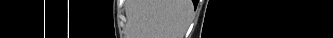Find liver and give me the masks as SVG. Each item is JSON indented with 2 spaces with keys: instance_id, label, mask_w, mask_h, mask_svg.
<instances>
[{
  "instance_id": "1",
  "label": "liver",
  "mask_w": 333,
  "mask_h": 38,
  "mask_svg": "<svg viewBox=\"0 0 333 38\" xmlns=\"http://www.w3.org/2000/svg\"><path fill=\"white\" fill-rule=\"evenodd\" d=\"M191 0H137V38H183L192 18Z\"/></svg>"
}]
</instances>
